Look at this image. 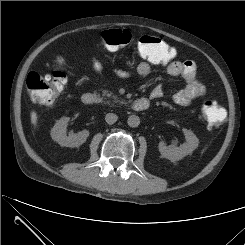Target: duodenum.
I'll use <instances>...</instances> for the list:
<instances>
[{"instance_id":"obj_1","label":"duodenum","mask_w":245,"mask_h":245,"mask_svg":"<svg viewBox=\"0 0 245 245\" xmlns=\"http://www.w3.org/2000/svg\"><path fill=\"white\" fill-rule=\"evenodd\" d=\"M81 101L84 105L91 106L96 105L100 101V97L95 93H84L82 95ZM150 105V101L147 98H139L133 101L132 109L134 111L140 112L146 110Z\"/></svg>"}]
</instances>
